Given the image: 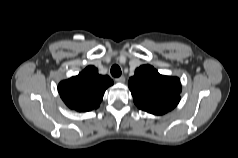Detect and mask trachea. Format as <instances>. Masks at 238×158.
Returning a JSON list of instances; mask_svg holds the SVG:
<instances>
[{"label": "trachea", "mask_w": 238, "mask_h": 158, "mask_svg": "<svg viewBox=\"0 0 238 158\" xmlns=\"http://www.w3.org/2000/svg\"><path fill=\"white\" fill-rule=\"evenodd\" d=\"M111 74L114 77H119L121 75V69L118 65H113L111 67Z\"/></svg>", "instance_id": "obj_1"}]
</instances>
